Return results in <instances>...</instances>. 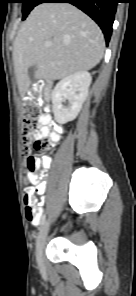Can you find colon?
I'll use <instances>...</instances> for the list:
<instances>
[{
    "label": "colon",
    "instance_id": "obj_1",
    "mask_svg": "<svg viewBox=\"0 0 136 296\" xmlns=\"http://www.w3.org/2000/svg\"><path fill=\"white\" fill-rule=\"evenodd\" d=\"M22 141L25 154V172L30 182L35 181L36 173L40 167V160L35 152L46 151L51 147V140L47 137L38 138L35 132L42 126L41 108L29 99L22 105ZM25 214L29 221L40 219L39 209L36 207V188L29 185L24 191Z\"/></svg>",
    "mask_w": 136,
    "mask_h": 296
}]
</instances>
